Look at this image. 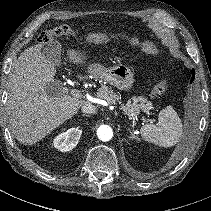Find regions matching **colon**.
<instances>
[{
	"mask_svg": "<svg viewBox=\"0 0 211 211\" xmlns=\"http://www.w3.org/2000/svg\"><path fill=\"white\" fill-rule=\"evenodd\" d=\"M58 36H74L73 30L67 26H57L53 29L44 31L39 34L37 38V43L39 45H46L47 43L51 42L54 37ZM169 88V83L165 80L159 81L151 91V97L157 98L162 96Z\"/></svg>",
	"mask_w": 211,
	"mask_h": 211,
	"instance_id": "obj_1",
	"label": "colon"
}]
</instances>
